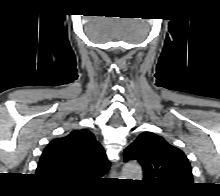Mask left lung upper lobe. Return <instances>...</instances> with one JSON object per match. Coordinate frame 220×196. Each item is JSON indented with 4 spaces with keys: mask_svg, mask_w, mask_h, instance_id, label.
<instances>
[{
    "mask_svg": "<svg viewBox=\"0 0 220 196\" xmlns=\"http://www.w3.org/2000/svg\"><path fill=\"white\" fill-rule=\"evenodd\" d=\"M137 160L143 167L144 182L161 193H178L193 184L185 154L161 136L143 132L124 151V160Z\"/></svg>",
    "mask_w": 220,
    "mask_h": 196,
    "instance_id": "left-lung-upper-lobe-1",
    "label": "left lung upper lobe"
}]
</instances>
